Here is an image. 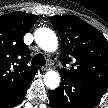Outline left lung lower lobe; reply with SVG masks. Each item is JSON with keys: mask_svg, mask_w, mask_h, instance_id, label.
Masks as SVG:
<instances>
[{"mask_svg": "<svg viewBox=\"0 0 108 108\" xmlns=\"http://www.w3.org/2000/svg\"><path fill=\"white\" fill-rule=\"evenodd\" d=\"M60 76L61 85L49 93L52 108H93L108 88L105 82Z\"/></svg>", "mask_w": 108, "mask_h": 108, "instance_id": "left-lung-lower-lobe-1", "label": "left lung lower lobe"}]
</instances>
